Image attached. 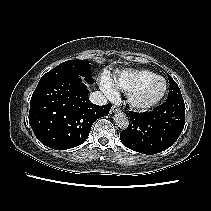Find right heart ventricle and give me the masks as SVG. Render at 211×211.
Returning a JSON list of instances; mask_svg holds the SVG:
<instances>
[{
  "label": "right heart ventricle",
  "mask_w": 211,
  "mask_h": 211,
  "mask_svg": "<svg viewBox=\"0 0 211 211\" xmlns=\"http://www.w3.org/2000/svg\"><path fill=\"white\" fill-rule=\"evenodd\" d=\"M158 75L150 70L127 69L117 72L112 77V82L121 91L126 94L132 92L142 83L157 77Z\"/></svg>",
  "instance_id": "e07e8e85"
}]
</instances>
